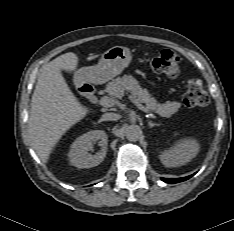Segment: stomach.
Masks as SVG:
<instances>
[{
  "label": "stomach",
  "instance_id": "0dacf381",
  "mask_svg": "<svg viewBox=\"0 0 234 231\" xmlns=\"http://www.w3.org/2000/svg\"><path fill=\"white\" fill-rule=\"evenodd\" d=\"M131 59L132 55L128 48L114 46L102 55L97 65L79 69L75 73V78L80 82L105 83L128 67Z\"/></svg>",
  "mask_w": 234,
  "mask_h": 231
}]
</instances>
